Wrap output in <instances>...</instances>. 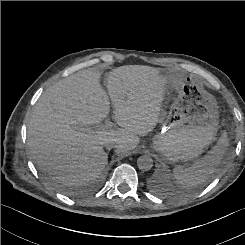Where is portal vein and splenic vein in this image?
I'll return each instance as SVG.
<instances>
[{"instance_id":"18ae733b","label":"portal vein and splenic vein","mask_w":245,"mask_h":245,"mask_svg":"<svg viewBox=\"0 0 245 245\" xmlns=\"http://www.w3.org/2000/svg\"><path fill=\"white\" fill-rule=\"evenodd\" d=\"M113 127V123L109 120L106 121L104 128L105 129H110Z\"/></svg>"}]
</instances>
